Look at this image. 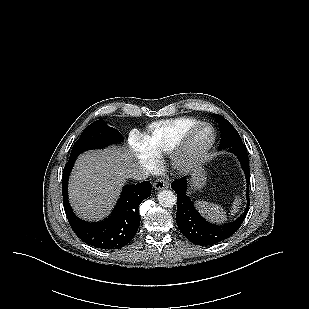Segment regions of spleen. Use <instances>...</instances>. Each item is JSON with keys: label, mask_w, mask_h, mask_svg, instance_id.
<instances>
[{"label": "spleen", "mask_w": 309, "mask_h": 309, "mask_svg": "<svg viewBox=\"0 0 309 309\" xmlns=\"http://www.w3.org/2000/svg\"><path fill=\"white\" fill-rule=\"evenodd\" d=\"M240 202L241 199L238 196H235V200L232 205V214H235L238 211ZM196 206L200 212L211 221L224 222L227 220L226 212L221 206L217 204L209 203L206 201H197Z\"/></svg>", "instance_id": "1"}]
</instances>
